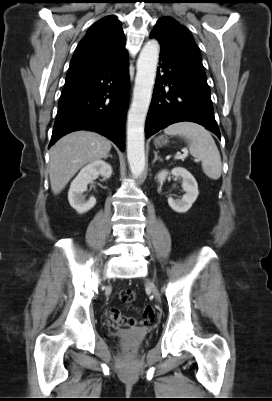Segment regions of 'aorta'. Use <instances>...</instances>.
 Segmentation results:
<instances>
[{"mask_svg":"<svg viewBox=\"0 0 272 401\" xmlns=\"http://www.w3.org/2000/svg\"><path fill=\"white\" fill-rule=\"evenodd\" d=\"M160 46L149 40L138 61L133 99L127 120V159L133 176L139 177L145 168L144 125L152 98Z\"/></svg>","mask_w":272,"mask_h":401,"instance_id":"762f6f07","label":"aorta"}]
</instances>
